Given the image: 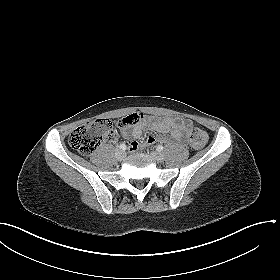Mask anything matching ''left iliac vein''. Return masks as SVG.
<instances>
[{"label":"left iliac vein","instance_id":"4c4485c4","mask_svg":"<svg viewBox=\"0 0 280 280\" xmlns=\"http://www.w3.org/2000/svg\"><path fill=\"white\" fill-rule=\"evenodd\" d=\"M151 156L157 161V162H163L164 161V155L158 151H152Z\"/></svg>","mask_w":280,"mask_h":280}]
</instances>
